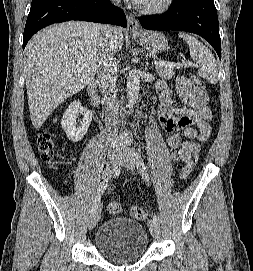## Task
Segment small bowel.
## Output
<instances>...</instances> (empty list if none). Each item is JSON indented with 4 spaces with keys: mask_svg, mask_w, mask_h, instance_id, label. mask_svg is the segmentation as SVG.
Returning a JSON list of instances; mask_svg holds the SVG:
<instances>
[{
    "mask_svg": "<svg viewBox=\"0 0 253 271\" xmlns=\"http://www.w3.org/2000/svg\"><path fill=\"white\" fill-rule=\"evenodd\" d=\"M175 84L187 107H172L169 87L164 81L157 82L158 124L169 132L167 144L173 150V160L187 162L199 152L200 144L210 137L212 113L207 106L206 94L194 80L179 76Z\"/></svg>",
    "mask_w": 253,
    "mask_h": 271,
    "instance_id": "c3829d8e",
    "label": "small bowel"
}]
</instances>
